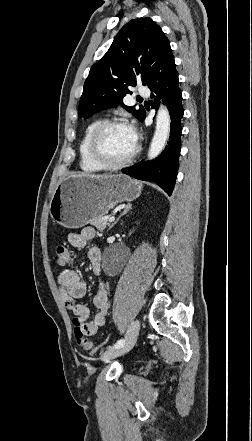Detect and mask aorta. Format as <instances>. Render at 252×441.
<instances>
[{"mask_svg":"<svg viewBox=\"0 0 252 441\" xmlns=\"http://www.w3.org/2000/svg\"><path fill=\"white\" fill-rule=\"evenodd\" d=\"M170 123L168 109L161 105L157 112L156 128L148 151V159L157 157L165 147L170 133Z\"/></svg>","mask_w":252,"mask_h":441,"instance_id":"aorta-1","label":"aorta"}]
</instances>
